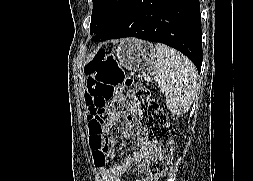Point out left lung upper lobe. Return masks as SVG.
Listing matches in <instances>:
<instances>
[{
	"mask_svg": "<svg viewBox=\"0 0 253 181\" xmlns=\"http://www.w3.org/2000/svg\"><path fill=\"white\" fill-rule=\"evenodd\" d=\"M131 0H93L90 30L93 40L101 38L119 19Z\"/></svg>",
	"mask_w": 253,
	"mask_h": 181,
	"instance_id": "obj_1",
	"label": "left lung upper lobe"
}]
</instances>
